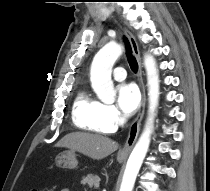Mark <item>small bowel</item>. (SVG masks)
<instances>
[{
	"label": "small bowel",
	"mask_w": 210,
	"mask_h": 191,
	"mask_svg": "<svg viewBox=\"0 0 210 191\" xmlns=\"http://www.w3.org/2000/svg\"><path fill=\"white\" fill-rule=\"evenodd\" d=\"M61 191H70L69 189H62Z\"/></svg>",
	"instance_id": "1"
}]
</instances>
